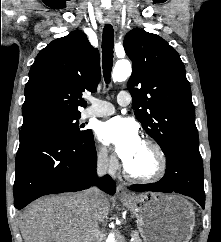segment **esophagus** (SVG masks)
Listing matches in <instances>:
<instances>
[{"instance_id": "obj_1", "label": "esophagus", "mask_w": 221, "mask_h": 242, "mask_svg": "<svg viewBox=\"0 0 221 242\" xmlns=\"http://www.w3.org/2000/svg\"><path fill=\"white\" fill-rule=\"evenodd\" d=\"M106 21L108 23H113L114 18H106ZM117 196L122 197V198H126V197H130V193L128 192V190L126 189V187L124 185L119 184L117 186Z\"/></svg>"}]
</instances>
